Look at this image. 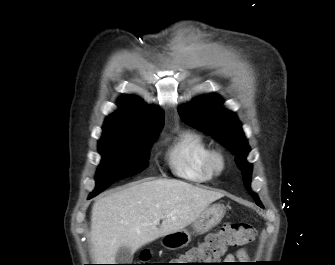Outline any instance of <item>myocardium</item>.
Segmentation results:
<instances>
[{"instance_id": "f54148a6", "label": "myocardium", "mask_w": 335, "mask_h": 265, "mask_svg": "<svg viewBox=\"0 0 335 265\" xmlns=\"http://www.w3.org/2000/svg\"><path fill=\"white\" fill-rule=\"evenodd\" d=\"M207 163L215 174H220L225 170L227 160L221 151L211 150L207 159Z\"/></svg>"}]
</instances>
